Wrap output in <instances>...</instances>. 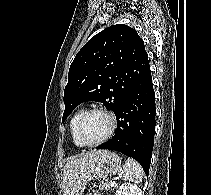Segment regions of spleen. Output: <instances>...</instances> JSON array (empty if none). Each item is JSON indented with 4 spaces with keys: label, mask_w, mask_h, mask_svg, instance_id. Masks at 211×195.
<instances>
[{
    "label": "spleen",
    "mask_w": 211,
    "mask_h": 195,
    "mask_svg": "<svg viewBox=\"0 0 211 195\" xmlns=\"http://www.w3.org/2000/svg\"><path fill=\"white\" fill-rule=\"evenodd\" d=\"M119 175L123 180L140 183L143 178V169L138 162L128 157L124 166L120 169Z\"/></svg>",
    "instance_id": "1"
}]
</instances>
